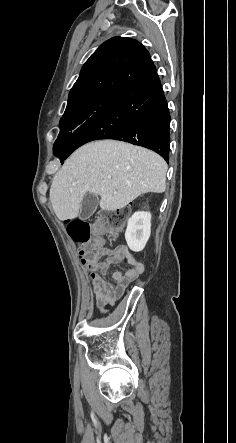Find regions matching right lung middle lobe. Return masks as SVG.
<instances>
[{
    "label": "right lung middle lobe",
    "mask_w": 236,
    "mask_h": 443,
    "mask_svg": "<svg viewBox=\"0 0 236 443\" xmlns=\"http://www.w3.org/2000/svg\"><path fill=\"white\" fill-rule=\"evenodd\" d=\"M111 96V94H99L67 107L60 120V133L54 144V151L66 150L77 129Z\"/></svg>",
    "instance_id": "1"
}]
</instances>
